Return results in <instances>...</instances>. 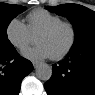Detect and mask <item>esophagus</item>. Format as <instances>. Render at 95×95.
<instances>
[{
  "instance_id": "esophagus-1",
  "label": "esophagus",
  "mask_w": 95,
  "mask_h": 95,
  "mask_svg": "<svg viewBox=\"0 0 95 95\" xmlns=\"http://www.w3.org/2000/svg\"><path fill=\"white\" fill-rule=\"evenodd\" d=\"M32 63H33L34 68H37L38 65H39V62L38 61H33Z\"/></svg>"
}]
</instances>
